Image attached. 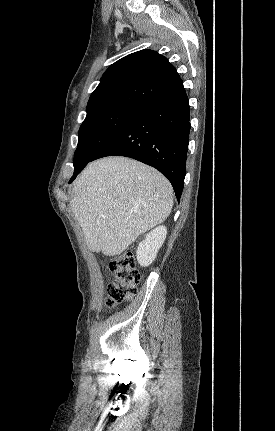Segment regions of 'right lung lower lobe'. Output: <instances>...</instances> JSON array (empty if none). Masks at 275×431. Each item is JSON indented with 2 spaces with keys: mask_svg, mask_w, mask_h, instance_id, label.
Masks as SVG:
<instances>
[{
  "mask_svg": "<svg viewBox=\"0 0 275 431\" xmlns=\"http://www.w3.org/2000/svg\"><path fill=\"white\" fill-rule=\"evenodd\" d=\"M189 132V101L181 83L137 109L90 162L118 155L148 164L169 179L179 201L186 173ZM81 171L73 174L69 183Z\"/></svg>",
  "mask_w": 275,
  "mask_h": 431,
  "instance_id": "obj_1",
  "label": "right lung lower lobe"
}]
</instances>
